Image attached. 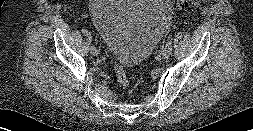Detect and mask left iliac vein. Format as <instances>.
<instances>
[{"mask_svg": "<svg viewBox=\"0 0 253 131\" xmlns=\"http://www.w3.org/2000/svg\"><path fill=\"white\" fill-rule=\"evenodd\" d=\"M172 53V48L165 47L161 53L163 59H168Z\"/></svg>", "mask_w": 253, "mask_h": 131, "instance_id": "4c4485c4", "label": "left iliac vein"}]
</instances>
